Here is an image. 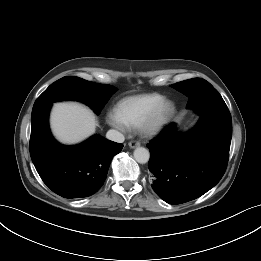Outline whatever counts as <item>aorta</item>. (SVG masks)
<instances>
[{"label": "aorta", "instance_id": "762f6f07", "mask_svg": "<svg viewBox=\"0 0 261 261\" xmlns=\"http://www.w3.org/2000/svg\"><path fill=\"white\" fill-rule=\"evenodd\" d=\"M134 159L140 163V164H145L149 161V158H150V153L149 151L144 148V147H137L135 150H134Z\"/></svg>", "mask_w": 261, "mask_h": 261}]
</instances>
